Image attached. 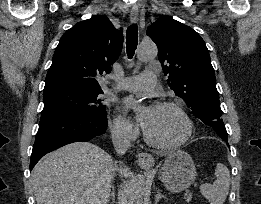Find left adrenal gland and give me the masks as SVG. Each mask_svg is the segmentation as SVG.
Wrapping results in <instances>:
<instances>
[{
    "mask_svg": "<svg viewBox=\"0 0 261 204\" xmlns=\"http://www.w3.org/2000/svg\"><path fill=\"white\" fill-rule=\"evenodd\" d=\"M160 199H166L164 195L161 194L160 190L157 191L156 197H155V204H158Z\"/></svg>",
    "mask_w": 261,
    "mask_h": 204,
    "instance_id": "left-adrenal-gland-1",
    "label": "left adrenal gland"
}]
</instances>
